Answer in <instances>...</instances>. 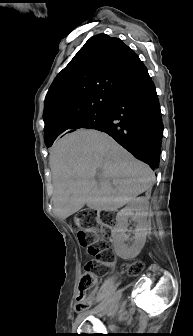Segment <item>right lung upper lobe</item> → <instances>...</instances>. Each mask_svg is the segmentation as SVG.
<instances>
[{
    "label": "right lung upper lobe",
    "mask_w": 193,
    "mask_h": 336,
    "mask_svg": "<svg viewBox=\"0 0 193 336\" xmlns=\"http://www.w3.org/2000/svg\"><path fill=\"white\" fill-rule=\"evenodd\" d=\"M138 55L118 38H90L57 75L45 98L44 139L74 132V122L109 107L124 83L141 64Z\"/></svg>",
    "instance_id": "1"
}]
</instances>
